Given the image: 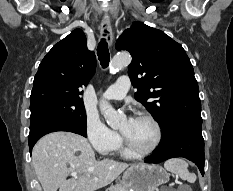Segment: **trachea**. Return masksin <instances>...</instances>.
Segmentation results:
<instances>
[{
  "label": "trachea",
  "mask_w": 233,
  "mask_h": 191,
  "mask_svg": "<svg viewBox=\"0 0 233 191\" xmlns=\"http://www.w3.org/2000/svg\"><path fill=\"white\" fill-rule=\"evenodd\" d=\"M97 55L101 66L103 68H106L110 60V55H109L108 44L104 39H102L98 44Z\"/></svg>",
  "instance_id": "obj_1"
}]
</instances>
